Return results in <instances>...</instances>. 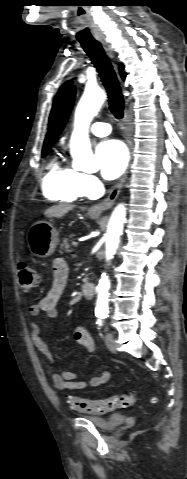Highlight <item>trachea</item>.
<instances>
[{
	"label": "trachea",
	"instance_id": "3493384b",
	"mask_svg": "<svg viewBox=\"0 0 187 479\" xmlns=\"http://www.w3.org/2000/svg\"><path fill=\"white\" fill-rule=\"evenodd\" d=\"M82 48L96 67L108 94L111 113L117 118L123 117L124 100L115 71L106 56L102 45L96 40L80 41Z\"/></svg>",
	"mask_w": 187,
	"mask_h": 479
}]
</instances>
